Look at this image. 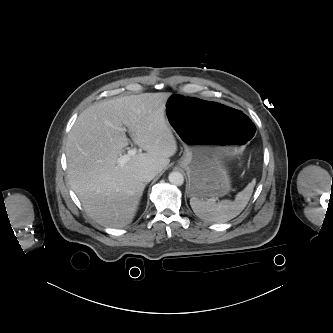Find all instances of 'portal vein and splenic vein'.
Returning a JSON list of instances; mask_svg holds the SVG:
<instances>
[{"label":"portal vein and splenic vein","instance_id":"1","mask_svg":"<svg viewBox=\"0 0 333 333\" xmlns=\"http://www.w3.org/2000/svg\"><path fill=\"white\" fill-rule=\"evenodd\" d=\"M123 131H125V129H123ZM136 153H137L136 148L129 149L127 154H124L117 159L116 161L117 164L121 166L126 164L130 160V158L134 156Z\"/></svg>","mask_w":333,"mask_h":333}]
</instances>
